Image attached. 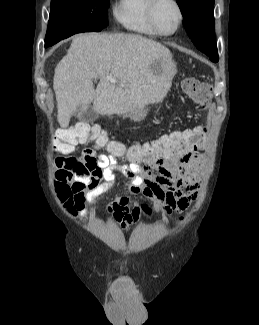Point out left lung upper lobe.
Masks as SVG:
<instances>
[{"label": "left lung upper lobe", "mask_w": 259, "mask_h": 325, "mask_svg": "<svg viewBox=\"0 0 259 325\" xmlns=\"http://www.w3.org/2000/svg\"><path fill=\"white\" fill-rule=\"evenodd\" d=\"M194 45L213 62L219 60L215 40L214 0H176Z\"/></svg>", "instance_id": "left-lung-upper-lobe-1"}]
</instances>
